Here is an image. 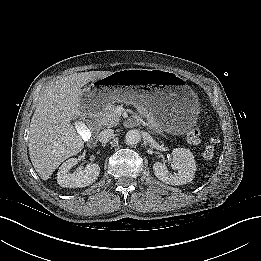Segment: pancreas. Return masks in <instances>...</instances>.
Wrapping results in <instances>:
<instances>
[{"instance_id":"obj_1","label":"pancreas","mask_w":261,"mask_h":261,"mask_svg":"<svg viewBox=\"0 0 261 261\" xmlns=\"http://www.w3.org/2000/svg\"><path fill=\"white\" fill-rule=\"evenodd\" d=\"M115 109L116 106L114 105V102H112L103 110L100 115V125L111 128L119 123V116ZM147 125L150 129H157V124L155 122L150 121Z\"/></svg>"}]
</instances>
